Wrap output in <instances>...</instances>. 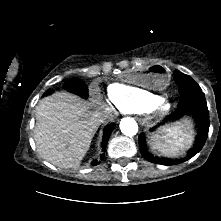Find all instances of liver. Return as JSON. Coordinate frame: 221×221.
I'll list each match as a JSON object with an SVG mask.
<instances>
[{"mask_svg": "<svg viewBox=\"0 0 221 221\" xmlns=\"http://www.w3.org/2000/svg\"><path fill=\"white\" fill-rule=\"evenodd\" d=\"M104 108L99 99L86 102L67 92H56L36 106L34 140L46 161L60 168H76L89 150Z\"/></svg>", "mask_w": 221, "mask_h": 221, "instance_id": "obj_1", "label": "liver"}]
</instances>
